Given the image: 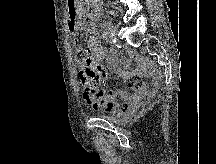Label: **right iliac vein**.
I'll list each match as a JSON object with an SVG mask.
<instances>
[{"instance_id": "1", "label": "right iliac vein", "mask_w": 216, "mask_h": 164, "mask_svg": "<svg viewBox=\"0 0 216 164\" xmlns=\"http://www.w3.org/2000/svg\"><path fill=\"white\" fill-rule=\"evenodd\" d=\"M104 26L106 28V32H108L113 39H116L117 36V30L115 26L110 21H104Z\"/></svg>"}]
</instances>
